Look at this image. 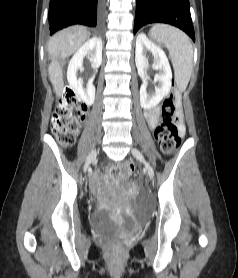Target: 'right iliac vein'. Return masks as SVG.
<instances>
[{
	"mask_svg": "<svg viewBox=\"0 0 238 278\" xmlns=\"http://www.w3.org/2000/svg\"><path fill=\"white\" fill-rule=\"evenodd\" d=\"M95 156H96V149H92L86 158L85 166H83L84 171H87L88 167H90V162L94 159Z\"/></svg>",
	"mask_w": 238,
	"mask_h": 278,
	"instance_id": "right-iliac-vein-1",
	"label": "right iliac vein"
}]
</instances>
